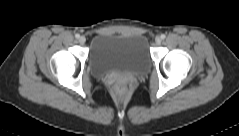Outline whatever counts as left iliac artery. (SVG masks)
Here are the masks:
<instances>
[{"label": "left iliac artery", "mask_w": 239, "mask_h": 136, "mask_svg": "<svg viewBox=\"0 0 239 136\" xmlns=\"http://www.w3.org/2000/svg\"><path fill=\"white\" fill-rule=\"evenodd\" d=\"M166 38V35L165 34H162L161 35V39H165Z\"/></svg>", "instance_id": "1"}]
</instances>
